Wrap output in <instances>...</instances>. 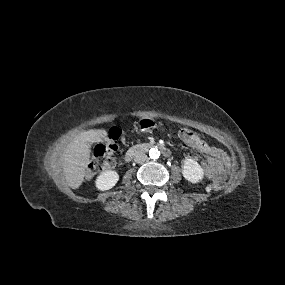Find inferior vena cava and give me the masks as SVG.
<instances>
[{"label": "inferior vena cava", "mask_w": 285, "mask_h": 285, "mask_svg": "<svg viewBox=\"0 0 285 285\" xmlns=\"http://www.w3.org/2000/svg\"><path fill=\"white\" fill-rule=\"evenodd\" d=\"M147 160V155L145 153H138L135 157H134V161L136 163H144Z\"/></svg>", "instance_id": "1"}]
</instances>
